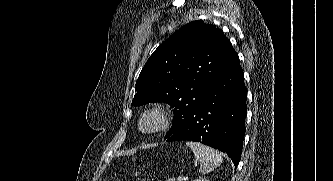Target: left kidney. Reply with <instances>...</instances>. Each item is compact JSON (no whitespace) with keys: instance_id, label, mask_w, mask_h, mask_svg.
I'll use <instances>...</instances> for the list:
<instances>
[{"instance_id":"obj_1","label":"left kidney","mask_w":333,"mask_h":181,"mask_svg":"<svg viewBox=\"0 0 333 181\" xmlns=\"http://www.w3.org/2000/svg\"><path fill=\"white\" fill-rule=\"evenodd\" d=\"M193 181H209V180L206 179V178H199V179H196V180H193Z\"/></svg>"}]
</instances>
